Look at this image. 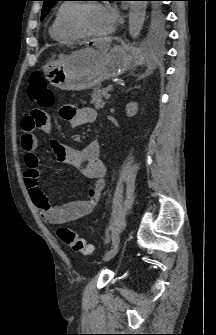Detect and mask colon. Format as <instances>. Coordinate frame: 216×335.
I'll return each mask as SVG.
<instances>
[{"mask_svg":"<svg viewBox=\"0 0 216 335\" xmlns=\"http://www.w3.org/2000/svg\"><path fill=\"white\" fill-rule=\"evenodd\" d=\"M27 94L30 100L36 104V108L48 109L54 103V93L48 87L43 74L39 71H35L30 75L27 85ZM56 232L61 241L73 251L86 256L93 254L94 247L71 228L60 225Z\"/></svg>","mask_w":216,"mask_h":335,"instance_id":"colon-1","label":"colon"}]
</instances>
